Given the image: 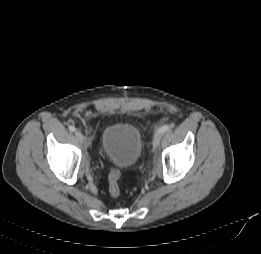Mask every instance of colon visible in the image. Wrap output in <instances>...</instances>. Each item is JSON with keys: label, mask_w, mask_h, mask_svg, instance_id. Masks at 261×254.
Wrapping results in <instances>:
<instances>
[{"label": "colon", "mask_w": 261, "mask_h": 254, "mask_svg": "<svg viewBox=\"0 0 261 254\" xmlns=\"http://www.w3.org/2000/svg\"><path fill=\"white\" fill-rule=\"evenodd\" d=\"M121 172L119 169L113 168L108 175V192L111 197H118L120 195L119 181Z\"/></svg>", "instance_id": "5ec220e1"}]
</instances>
